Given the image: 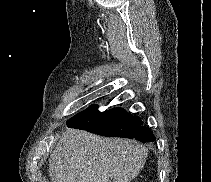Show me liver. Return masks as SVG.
I'll return each mask as SVG.
<instances>
[{
	"mask_svg": "<svg viewBox=\"0 0 211 182\" xmlns=\"http://www.w3.org/2000/svg\"><path fill=\"white\" fill-rule=\"evenodd\" d=\"M146 158L137 141L67 129L50 155L49 175L52 182H131Z\"/></svg>",
	"mask_w": 211,
	"mask_h": 182,
	"instance_id": "1",
	"label": "liver"
}]
</instances>
